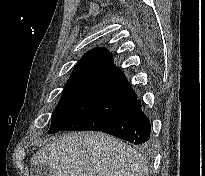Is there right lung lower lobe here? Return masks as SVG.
<instances>
[{
    "mask_svg": "<svg viewBox=\"0 0 205 176\" xmlns=\"http://www.w3.org/2000/svg\"><path fill=\"white\" fill-rule=\"evenodd\" d=\"M134 144H147L151 125L149 118L142 112L140 100L134 98L122 114L110 125L101 130Z\"/></svg>",
    "mask_w": 205,
    "mask_h": 176,
    "instance_id": "right-lung-lower-lobe-1",
    "label": "right lung lower lobe"
}]
</instances>
